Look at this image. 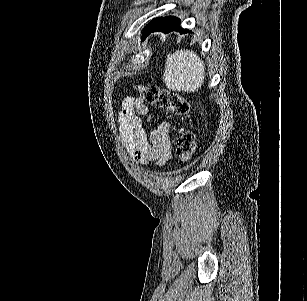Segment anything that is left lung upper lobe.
I'll use <instances>...</instances> for the list:
<instances>
[{"instance_id":"1","label":"left lung upper lobe","mask_w":307,"mask_h":301,"mask_svg":"<svg viewBox=\"0 0 307 301\" xmlns=\"http://www.w3.org/2000/svg\"><path fill=\"white\" fill-rule=\"evenodd\" d=\"M158 19V18H156ZM154 19L153 21H151L144 29V32H143V39L146 38V36L148 35V31H149V27L151 26V24L156 20Z\"/></svg>"}]
</instances>
